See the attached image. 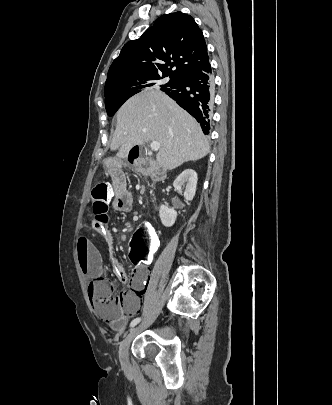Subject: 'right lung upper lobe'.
I'll list each match as a JSON object with an SVG mask.
<instances>
[{
    "instance_id": "obj_1",
    "label": "right lung upper lobe",
    "mask_w": 332,
    "mask_h": 405,
    "mask_svg": "<svg viewBox=\"0 0 332 405\" xmlns=\"http://www.w3.org/2000/svg\"><path fill=\"white\" fill-rule=\"evenodd\" d=\"M209 60L201 29L182 12L159 17L139 39L126 43L108 71L105 88L130 76L173 75Z\"/></svg>"
}]
</instances>
